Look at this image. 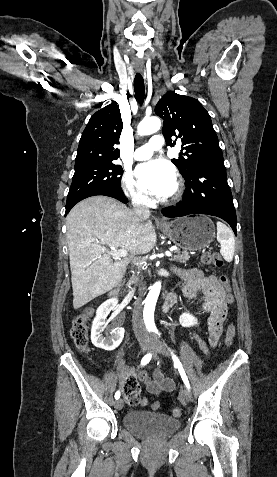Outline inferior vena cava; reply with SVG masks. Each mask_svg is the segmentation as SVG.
<instances>
[{"instance_id": "602c4592", "label": "inferior vena cava", "mask_w": 277, "mask_h": 477, "mask_svg": "<svg viewBox=\"0 0 277 477\" xmlns=\"http://www.w3.org/2000/svg\"><path fill=\"white\" fill-rule=\"evenodd\" d=\"M132 205L134 208V213L140 218H148L150 216V210L146 206L144 201H135L132 200ZM145 287H142L140 291H144ZM132 326L135 336L138 340H142L147 337L148 332L145 327L144 320L141 314V301H137L135 309L132 316Z\"/></svg>"}]
</instances>
